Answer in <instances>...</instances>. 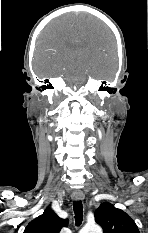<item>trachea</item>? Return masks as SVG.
Returning a JSON list of instances; mask_svg holds the SVG:
<instances>
[{
    "instance_id": "trachea-1",
    "label": "trachea",
    "mask_w": 148,
    "mask_h": 233,
    "mask_svg": "<svg viewBox=\"0 0 148 233\" xmlns=\"http://www.w3.org/2000/svg\"><path fill=\"white\" fill-rule=\"evenodd\" d=\"M76 226H80L83 220V206L81 200L73 202Z\"/></svg>"
}]
</instances>
